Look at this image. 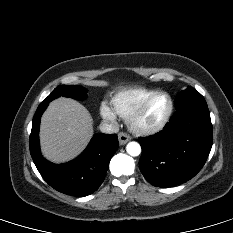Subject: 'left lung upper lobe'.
Masks as SVG:
<instances>
[{
	"label": "left lung upper lobe",
	"mask_w": 233,
	"mask_h": 233,
	"mask_svg": "<svg viewBox=\"0 0 233 233\" xmlns=\"http://www.w3.org/2000/svg\"><path fill=\"white\" fill-rule=\"evenodd\" d=\"M194 103L206 104V101L204 97L192 87H188L186 90L181 91L175 99L176 110Z\"/></svg>",
	"instance_id": "obj_1"
}]
</instances>
